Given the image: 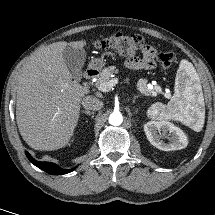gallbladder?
Instances as JSON below:
<instances>
[{"mask_svg":"<svg viewBox=\"0 0 215 215\" xmlns=\"http://www.w3.org/2000/svg\"><path fill=\"white\" fill-rule=\"evenodd\" d=\"M63 60L71 70L74 78L82 77V67L85 63L86 52L83 48L66 47L63 51Z\"/></svg>","mask_w":215,"mask_h":215,"instance_id":"gallbladder-1","label":"gallbladder"}]
</instances>
